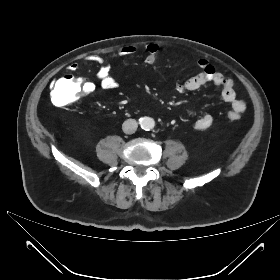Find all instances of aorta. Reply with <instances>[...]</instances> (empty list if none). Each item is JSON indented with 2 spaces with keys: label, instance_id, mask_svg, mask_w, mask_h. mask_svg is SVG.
<instances>
[{
  "label": "aorta",
  "instance_id": "762f6f07",
  "mask_svg": "<svg viewBox=\"0 0 280 280\" xmlns=\"http://www.w3.org/2000/svg\"><path fill=\"white\" fill-rule=\"evenodd\" d=\"M140 123H141V127L145 130H151L155 126L154 119L150 117L141 118Z\"/></svg>",
  "mask_w": 280,
  "mask_h": 280
}]
</instances>
